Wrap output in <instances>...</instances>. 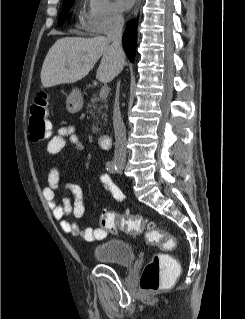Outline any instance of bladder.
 <instances>
[{
    "mask_svg": "<svg viewBox=\"0 0 245 319\" xmlns=\"http://www.w3.org/2000/svg\"><path fill=\"white\" fill-rule=\"evenodd\" d=\"M93 256L98 262L129 266L134 262V247L120 238H110L99 243L93 249Z\"/></svg>",
    "mask_w": 245,
    "mask_h": 319,
    "instance_id": "obj_1",
    "label": "bladder"
}]
</instances>
